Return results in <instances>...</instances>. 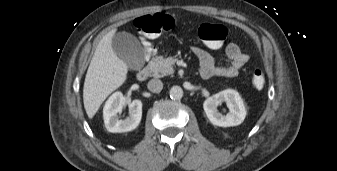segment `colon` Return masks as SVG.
Segmentation results:
<instances>
[{
  "mask_svg": "<svg viewBox=\"0 0 337 171\" xmlns=\"http://www.w3.org/2000/svg\"><path fill=\"white\" fill-rule=\"evenodd\" d=\"M136 30L144 36H154L161 31L171 30L175 26V20L170 15L155 14L145 15L135 19ZM199 38L205 42L210 50H218L226 40L228 32L223 25L202 23L197 30ZM142 50L147 59H154L157 56V49L152 40H145L142 43ZM266 79L262 70L255 69L252 73V85L256 89H262Z\"/></svg>",
  "mask_w": 337,
  "mask_h": 171,
  "instance_id": "colon-1",
  "label": "colon"
}]
</instances>
